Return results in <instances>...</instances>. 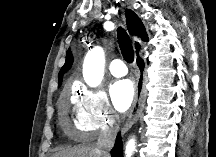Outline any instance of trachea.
I'll list each match as a JSON object with an SVG mask.
<instances>
[{
	"label": "trachea",
	"instance_id": "1",
	"mask_svg": "<svg viewBox=\"0 0 216 157\" xmlns=\"http://www.w3.org/2000/svg\"><path fill=\"white\" fill-rule=\"evenodd\" d=\"M117 39L124 59L128 63H132L134 61V49L127 32L122 27L117 29ZM138 48H140L139 45ZM142 63L144 64L143 60Z\"/></svg>",
	"mask_w": 216,
	"mask_h": 157
}]
</instances>
